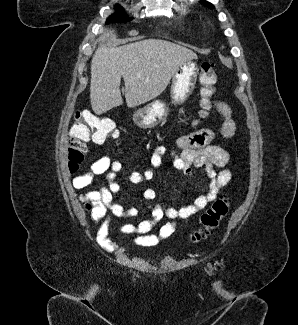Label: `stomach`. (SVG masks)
<instances>
[{
    "mask_svg": "<svg viewBox=\"0 0 298 325\" xmlns=\"http://www.w3.org/2000/svg\"><path fill=\"white\" fill-rule=\"evenodd\" d=\"M198 74L197 62L186 60V62L180 64L178 70L172 76L170 86L172 104L178 106V104H183L185 100H188L195 88ZM169 110V106L163 100H153V102H149L143 108L136 110L133 114V120L141 128H153V126H157L159 122L167 118Z\"/></svg>",
    "mask_w": 298,
    "mask_h": 325,
    "instance_id": "0dacf381",
    "label": "stomach"
}]
</instances>
